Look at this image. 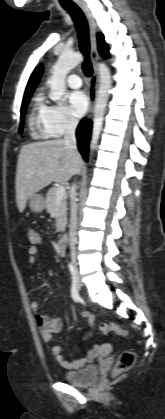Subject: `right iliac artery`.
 <instances>
[{
    "instance_id": "1",
    "label": "right iliac artery",
    "mask_w": 165,
    "mask_h": 419,
    "mask_svg": "<svg viewBox=\"0 0 165 419\" xmlns=\"http://www.w3.org/2000/svg\"><path fill=\"white\" fill-rule=\"evenodd\" d=\"M69 270L72 275V287H71V295L75 302H80L81 298L78 293L77 285H76V276H75V270L72 265L69 266Z\"/></svg>"
}]
</instances>
